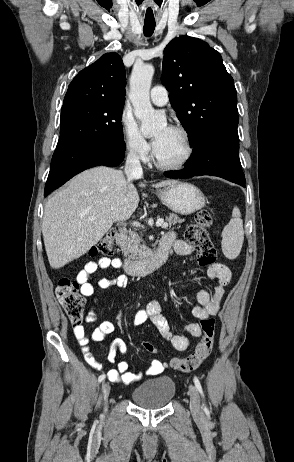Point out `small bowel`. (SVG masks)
Masks as SVG:
<instances>
[{"label":"small bowel","mask_w":294,"mask_h":462,"mask_svg":"<svg viewBox=\"0 0 294 462\" xmlns=\"http://www.w3.org/2000/svg\"><path fill=\"white\" fill-rule=\"evenodd\" d=\"M172 247L176 254L187 256L193 253L192 247L183 240L175 238L174 233L167 234L162 240ZM122 262L118 258L104 257L97 261H89L77 275V282L80 285V293L82 296L90 297L95 293V285L91 282L92 276L99 269L120 268ZM207 276L210 280L216 281L214 290H199L195 293L194 299L196 306L192 309V314L202 320L217 314L222 299L225 295L226 287L231 281V271L221 263H214L208 267ZM100 288H108L111 285L125 287L127 285V277L119 275L113 280L102 278L97 282ZM96 303V299L93 300ZM97 314L93 308L87 312L86 321L91 323L96 321ZM150 320L161 336L169 341L177 351H184L190 345V337H199L202 333L201 326L198 323H188L173 330L169 321L163 314V306L159 300H152L142 309L136 312L133 317L135 326L141 325L147 320ZM114 326L109 321L102 322L92 333L91 340L95 342L102 341L107 335L112 333ZM74 335L81 345L82 353L86 362L97 370H101L102 366L97 362L90 350V338L86 335L85 328L80 325L74 328ZM119 350L122 355L127 354L128 348L122 339H115L109 347L108 361L115 362L116 351ZM167 368L165 362L154 360L146 370V375L154 376L162 373ZM141 373H132L128 371V362L122 360L117 363L116 368L107 372L108 380L121 384H130L140 380Z\"/></svg>","instance_id":"obj_1"}]
</instances>
